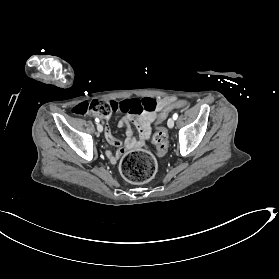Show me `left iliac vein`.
<instances>
[{"label": "left iliac vein", "instance_id": "1", "mask_svg": "<svg viewBox=\"0 0 279 279\" xmlns=\"http://www.w3.org/2000/svg\"><path fill=\"white\" fill-rule=\"evenodd\" d=\"M167 125H168L169 128H173V126H174V119L173 118H169L168 122H167Z\"/></svg>", "mask_w": 279, "mask_h": 279}]
</instances>
